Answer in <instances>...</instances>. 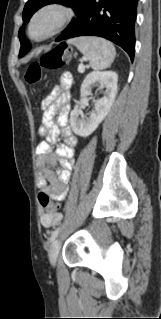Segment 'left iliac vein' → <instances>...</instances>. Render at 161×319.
<instances>
[{"instance_id": "4c4485c4", "label": "left iliac vein", "mask_w": 161, "mask_h": 319, "mask_svg": "<svg viewBox=\"0 0 161 319\" xmlns=\"http://www.w3.org/2000/svg\"><path fill=\"white\" fill-rule=\"evenodd\" d=\"M60 241L58 239L54 240L49 249V260L52 265L56 264L58 251H59Z\"/></svg>"}]
</instances>
